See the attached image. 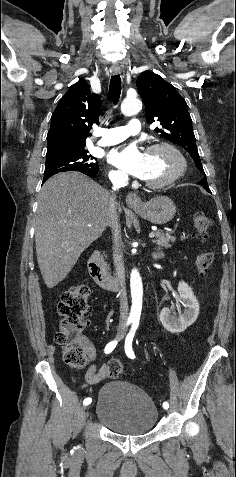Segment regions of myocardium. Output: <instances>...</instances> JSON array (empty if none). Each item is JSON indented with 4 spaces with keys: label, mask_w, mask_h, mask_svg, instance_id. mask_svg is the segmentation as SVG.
Wrapping results in <instances>:
<instances>
[{
    "label": "myocardium",
    "mask_w": 236,
    "mask_h": 477,
    "mask_svg": "<svg viewBox=\"0 0 236 477\" xmlns=\"http://www.w3.org/2000/svg\"><path fill=\"white\" fill-rule=\"evenodd\" d=\"M157 149H166L179 162L178 170L172 176H170L169 178H167L165 180H162V181H158V182L143 180V183L147 187L154 188V189H161V188H165V187H168V186L172 185L173 183L178 181L180 178H182L185 175V173L188 169V163H187V160H186L185 156L181 153V151L176 146H174L173 144L168 143V142H158V143L151 144L147 148L146 152L148 153L150 151L157 150Z\"/></svg>",
    "instance_id": "obj_1"
}]
</instances>
